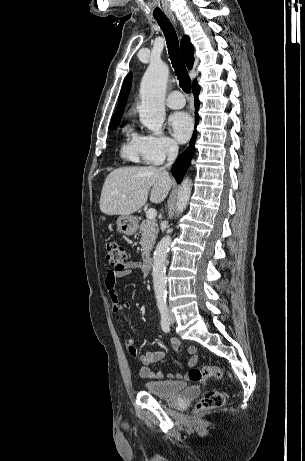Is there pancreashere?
Instances as JSON below:
<instances>
[{
    "mask_svg": "<svg viewBox=\"0 0 305 461\" xmlns=\"http://www.w3.org/2000/svg\"><path fill=\"white\" fill-rule=\"evenodd\" d=\"M139 230L142 236L140 240L142 257L146 258L155 244L159 232L158 224L155 220L147 219L141 224Z\"/></svg>",
    "mask_w": 305,
    "mask_h": 461,
    "instance_id": "pancreas-1",
    "label": "pancreas"
}]
</instances>
